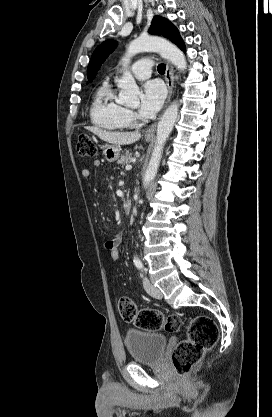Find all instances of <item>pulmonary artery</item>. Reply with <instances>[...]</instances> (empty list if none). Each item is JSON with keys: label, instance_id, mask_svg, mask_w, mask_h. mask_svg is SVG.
<instances>
[{"label": "pulmonary artery", "instance_id": "1", "mask_svg": "<svg viewBox=\"0 0 272 417\" xmlns=\"http://www.w3.org/2000/svg\"><path fill=\"white\" fill-rule=\"evenodd\" d=\"M152 61L149 58H143L135 62L131 68V72L138 80H144L150 77Z\"/></svg>", "mask_w": 272, "mask_h": 417}]
</instances>
